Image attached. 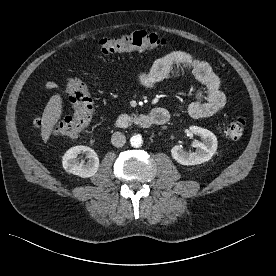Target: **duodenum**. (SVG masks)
Instances as JSON below:
<instances>
[{
    "label": "duodenum",
    "mask_w": 276,
    "mask_h": 276,
    "mask_svg": "<svg viewBox=\"0 0 276 276\" xmlns=\"http://www.w3.org/2000/svg\"><path fill=\"white\" fill-rule=\"evenodd\" d=\"M168 120V113L165 110H155L153 114L128 115L122 114L115 119V126L120 129H127L130 126H137L143 129L155 125L165 124Z\"/></svg>",
    "instance_id": "obj_1"
}]
</instances>
